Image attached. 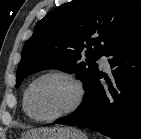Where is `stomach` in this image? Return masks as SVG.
<instances>
[{
	"label": "stomach",
	"instance_id": "0dacf381",
	"mask_svg": "<svg viewBox=\"0 0 141 139\" xmlns=\"http://www.w3.org/2000/svg\"><path fill=\"white\" fill-rule=\"evenodd\" d=\"M21 139H87V136L77 128L65 126L34 129Z\"/></svg>",
	"mask_w": 141,
	"mask_h": 139
}]
</instances>
